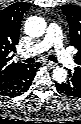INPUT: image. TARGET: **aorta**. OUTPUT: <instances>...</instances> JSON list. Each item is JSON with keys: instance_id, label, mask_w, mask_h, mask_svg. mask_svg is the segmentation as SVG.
I'll return each mask as SVG.
<instances>
[{"instance_id": "762f6f07", "label": "aorta", "mask_w": 81, "mask_h": 124, "mask_svg": "<svg viewBox=\"0 0 81 124\" xmlns=\"http://www.w3.org/2000/svg\"><path fill=\"white\" fill-rule=\"evenodd\" d=\"M46 26L43 18L32 16L26 20L24 30L30 37H40L45 33ZM52 77L59 83L64 82L67 78V71L63 67H56Z\"/></svg>"}]
</instances>
